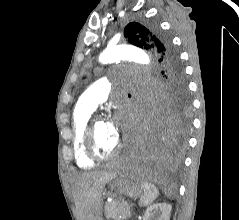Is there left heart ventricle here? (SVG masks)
Instances as JSON below:
<instances>
[{"instance_id":"1","label":"left heart ventricle","mask_w":239,"mask_h":220,"mask_svg":"<svg viewBox=\"0 0 239 220\" xmlns=\"http://www.w3.org/2000/svg\"><path fill=\"white\" fill-rule=\"evenodd\" d=\"M95 140L100 153L111 152L118 144L119 137L112 129L109 121H98L95 126Z\"/></svg>"}]
</instances>
